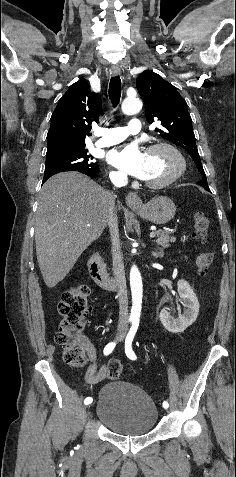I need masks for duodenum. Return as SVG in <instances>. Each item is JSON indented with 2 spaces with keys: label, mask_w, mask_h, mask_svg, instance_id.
Returning a JSON list of instances; mask_svg holds the SVG:
<instances>
[{
  "label": "duodenum",
  "mask_w": 236,
  "mask_h": 477,
  "mask_svg": "<svg viewBox=\"0 0 236 477\" xmlns=\"http://www.w3.org/2000/svg\"><path fill=\"white\" fill-rule=\"evenodd\" d=\"M88 270L91 278L100 287L110 290H116L118 288L117 281L105 272L97 253L91 256L88 262Z\"/></svg>",
  "instance_id": "duodenum-1"
}]
</instances>
